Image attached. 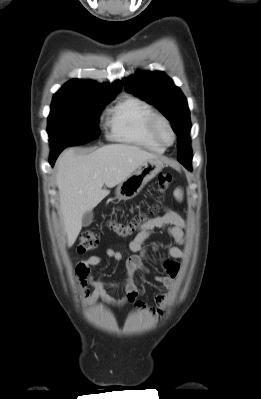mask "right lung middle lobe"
I'll return each instance as SVG.
<instances>
[{
  "mask_svg": "<svg viewBox=\"0 0 261 399\" xmlns=\"http://www.w3.org/2000/svg\"><path fill=\"white\" fill-rule=\"evenodd\" d=\"M112 99H53L47 129L51 150L95 139L99 135V113Z\"/></svg>",
  "mask_w": 261,
  "mask_h": 399,
  "instance_id": "dd1d6c3e",
  "label": "right lung middle lobe"
}]
</instances>
